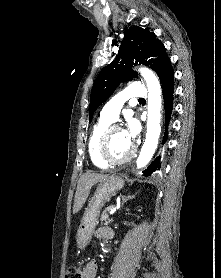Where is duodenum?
<instances>
[{
	"label": "duodenum",
	"mask_w": 221,
	"mask_h": 278,
	"mask_svg": "<svg viewBox=\"0 0 221 278\" xmlns=\"http://www.w3.org/2000/svg\"><path fill=\"white\" fill-rule=\"evenodd\" d=\"M112 236H113V235H112ZM112 236H111V237H112ZM111 237H110V236H107V237H105V238H106V239H110Z\"/></svg>",
	"instance_id": "duodenum-1"
}]
</instances>
